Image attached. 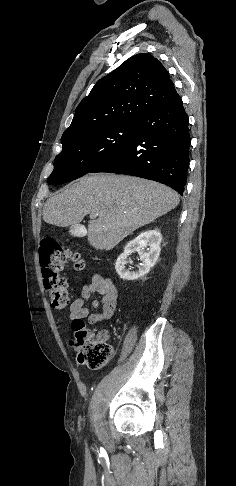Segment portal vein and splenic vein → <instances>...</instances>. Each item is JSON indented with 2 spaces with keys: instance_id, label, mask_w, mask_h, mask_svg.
Instances as JSON below:
<instances>
[{
  "instance_id": "obj_1",
  "label": "portal vein and splenic vein",
  "mask_w": 236,
  "mask_h": 486,
  "mask_svg": "<svg viewBox=\"0 0 236 486\" xmlns=\"http://www.w3.org/2000/svg\"><path fill=\"white\" fill-rule=\"evenodd\" d=\"M98 214H90V218H94V217H97Z\"/></svg>"
}]
</instances>
